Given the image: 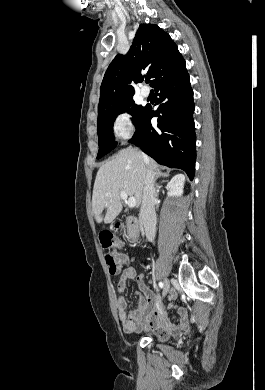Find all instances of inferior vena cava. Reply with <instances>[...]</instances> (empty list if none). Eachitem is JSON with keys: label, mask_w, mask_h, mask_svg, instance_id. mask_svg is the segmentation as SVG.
Segmentation results:
<instances>
[{"label": "inferior vena cava", "mask_w": 265, "mask_h": 390, "mask_svg": "<svg viewBox=\"0 0 265 390\" xmlns=\"http://www.w3.org/2000/svg\"><path fill=\"white\" fill-rule=\"evenodd\" d=\"M144 160L148 161L147 156L144 155ZM154 173L151 167L148 166L143 188V196L140 208V218L142 220L146 238L153 242L156 235V213H155V187H154Z\"/></svg>", "instance_id": "obj_1"}]
</instances>
